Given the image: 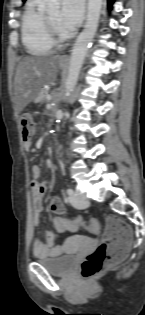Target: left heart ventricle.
I'll use <instances>...</instances> for the list:
<instances>
[{"mask_svg": "<svg viewBox=\"0 0 145 315\" xmlns=\"http://www.w3.org/2000/svg\"><path fill=\"white\" fill-rule=\"evenodd\" d=\"M51 21L61 30L62 32H65L63 29L61 22H60V11L59 9L52 10L47 13Z\"/></svg>", "mask_w": 145, "mask_h": 315, "instance_id": "b2bd125f", "label": "left heart ventricle"}]
</instances>
